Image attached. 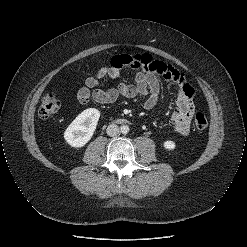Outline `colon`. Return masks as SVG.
<instances>
[{"instance_id": "5ec220e1", "label": "colon", "mask_w": 247, "mask_h": 247, "mask_svg": "<svg viewBox=\"0 0 247 247\" xmlns=\"http://www.w3.org/2000/svg\"><path fill=\"white\" fill-rule=\"evenodd\" d=\"M61 107L60 100L56 96L54 91H47L43 98L39 108V115L42 118H49L55 115ZM194 125L197 129H205L208 125L207 117L204 113L198 112L194 116Z\"/></svg>"}]
</instances>
